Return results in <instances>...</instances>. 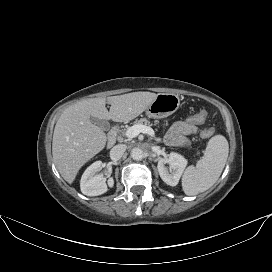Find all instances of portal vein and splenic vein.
<instances>
[{"label": "portal vein and splenic vein", "mask_w": 272, "mask_h": 272, "mask_svg": "<svg viewBox=\"0 0 272 272\" xmlns=\"http://www.w3.org/2000/svg\"><path fill=\"white\" fill-rule=\"evenodd\" d=\"M140 133L148 134L151 137H154L155 135L154 130L146 125H133L126 130L125 135L128 138H134L137 137Z\"/></svg>", "instance_id": "obj_1"}]
</instances>
